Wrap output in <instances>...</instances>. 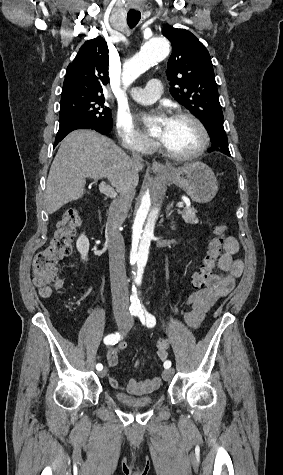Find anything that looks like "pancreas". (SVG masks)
<instances>
[{
  "label": "pancreas",
  "mask_w": 283,
  "mask_h": 475,
  "mask_svg": "<svg viewBox=\"0 0 283 475\" xmlns=\"http://www.w3.org/2000/svg\"><path fill=\"white\" fill-rule=\"evenodd\" d=\"M179 214H181L185 224H197L198 222V218L196 216L197 210H195L193 206H191V208H183Z\"/></svg>",
  "instance_id": "cf45deb5"
}]
</instances>
